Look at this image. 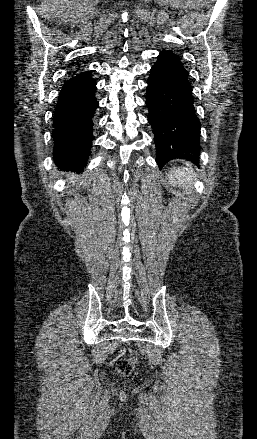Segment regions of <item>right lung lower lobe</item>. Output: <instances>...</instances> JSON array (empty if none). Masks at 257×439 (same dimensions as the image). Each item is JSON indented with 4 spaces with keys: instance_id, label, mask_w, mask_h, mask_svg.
Returning a JSON list of instances; mask_svg holds the SVG:
<instances>
[{
    "instance_id": "obj_1",
    "label": "right lung lower lobe",
    "mask_w": 257,
    "mask_h": 439,
    "mask_svg": "<svg viewBox=\"0 0 257 439\" xmlns=\"http://www.w3.org/2000/svg\"><path fill=\"white\" fill-rule=\"evenodd\" d=\"M96 82L89 72L68 79L60 91L53 122L54 161L64 170L80 172L91 154Z\"/></svg>"
}]
</instances>
